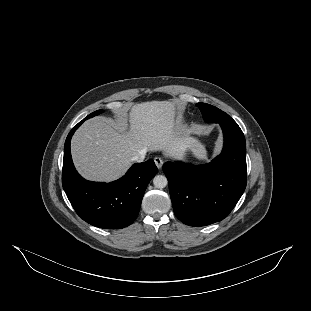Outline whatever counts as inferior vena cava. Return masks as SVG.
I'll return each instance as SVG.
<instances>
[{"instance_id":"602c4592","label":"inferior vena cava","mask_w":311,"mask_h":311,"mask_svg":"<svg viewBox=\"0 0 311 311\" xmlns=\"http://www.w3.org/2000/svg\"><path fill=\"white\" fill-rule=\"evenodd\" d=\"M145 154H146V152H144V153H139V154L135 155V156L132 158V161L137 162V163L143 162L144 159H145Z\"/></svg>"}]
</instances>
